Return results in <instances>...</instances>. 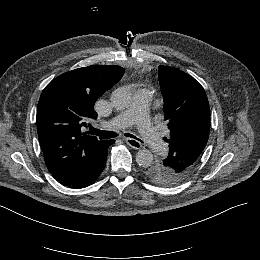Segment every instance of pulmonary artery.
<instances>
[{
    "mask_svg": "<svg viewBox=\"0 0 260 260\" xmlns=\"http://www.w3.org/2000/svg\"><path fill=\"white\" fill-rule=\"evenodd\" d=\"M150 104V94L145 90H140L128 102L127 106L113 116L112 123L118 129L137 123L141 136L149 149L155 154L163 155L167 151V146L153 128L151 117L149 116Z\"/></svg>",
    "mask_w": 260,
    "mask_h": 260,
    "instance_id": "1",
    "label": "pulmonary artery"
}]
</instances>
